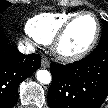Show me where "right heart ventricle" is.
Instances as JSON below:
<instances>
[{"mask_svg":"<svg viewBox=\"0 0 108 108\" xmlns=\"http://www.w3.org/2000/svg\"><path fill=\"white\" fill-rule=\"evenodd\" d=\"M75 13H42L29 20L28 33L42 44H50L61 27L72 18Z\"/></svg>","mask_w":108,"mask_h":108,"instance_id":"right-heart-ventricle-1","label":"right heart ventricle"}]
</instances>
